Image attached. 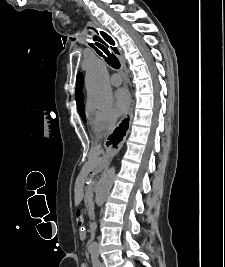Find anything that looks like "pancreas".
Wrapping results in <instances>:
<instances>
[{"mask_svg":"<svg viewBox=\"0 0 225 267\" xmlns=\"http://www.w3.org/2000/svg\"><path fill=\"white\" fill-rule=\"evenodd\" d=\"M92 186H89L86 189V193H85V204L87 206V209L89 211V213L92 211Z\"/></svg>","mask_w":225,"mask_h":267,"instance_id":"1","label":"pancreas"}]
</instances>
